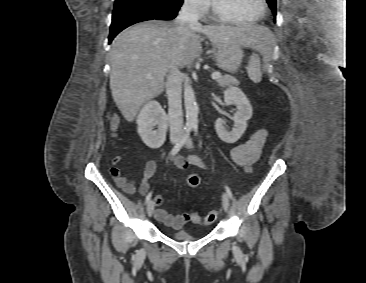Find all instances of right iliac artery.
I'll use <instances>...</instances> for the list:
<instances>
[{
  "instance_id": "right-iliac-artery-1",
  "label": "right iliac artery",
  "mask_w": 366,
  "mask_h": 283,
  "mask_svg": "<svg viewBox=\"0 0 366 283\" xmlns=\"http://www.w3.org/2000/svg\"><path fill=\"white\" fill-rule=\"evenodd\" d=\"M191 131H192V126H186L185 127V131H184L182 139L171 150V155L172 156L177 154L180 151V149L182 148V146L185 144L186 140L188 139ZM151 196H152V192H150L146 196V199H145L146 204L150 201Z\"/></svg>"
}]
</instances>
